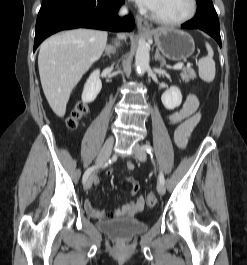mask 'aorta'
<instances>
[{
    "instance_id": "1",
    "label": "aorta",
    "mask_w": 247,
    "mask_h": 265,
    "mask_svg": "<svg viewBox=\"0 0 247 265\" xmlns=\"http://www.w3.org/2000/svg\"><path fill=\"white\" fill-rule=\"evenodd\" d=\"M149 47L144 39H140L135 56V66L139 75H143L149 68Z\"/></svg>"
}]
</instances>
